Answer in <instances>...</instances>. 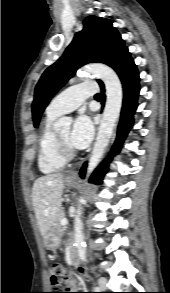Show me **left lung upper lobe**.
I'll list each match as a JSON object with an SVG mask.
<instances>
[{"label": "left lung upper lobe", "instance_id": "obj_1", "mask_svg": "<svg viewBox=\"0 0 170 293\" xmlns=\"http://www.w3.org/2000/svg\"><path fill=\"white\" fill-rule=\"evenodd\" d=\"M127 47L112 21L96 16H88L84 28L75 34L62 57L48 67L35 88L32 104L34 126L53 95L71 78L76 70L91 62H101L112 67L116 59ZM101 82L100 80H98Z\"/></svg>", "mask_w": 170, "mask_h": 293}]
</instances>
